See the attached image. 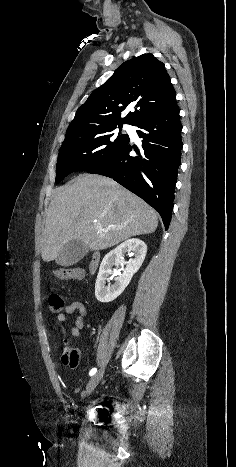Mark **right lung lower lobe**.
I'll return each mask as SVG.
<instances>
[{
  "label": "right lung lower lobe",
  "mask_w": 236,
  "mask_h": 467,
  "mask_svg": "<svg viewBox=\"0 0 236 467\" xmlns=\"http://www.w3.org/2000/svg\"><path fill=\"white\" fill-rule=\"evenodd\" d=\"M135 126L141 129L137 130L143 138L141 152L128 139L113 156L87 172L113 178L141 197L158 211L167 230L183 147L176 100ZM132 149L136 156L130 155Z\"/></svg>",
  "instance_id": "1"
}]
</instances>
